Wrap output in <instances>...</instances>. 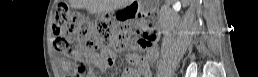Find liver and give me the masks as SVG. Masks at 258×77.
Listing matches in <instances>:
<instances>
[{"label":"liver","mask_w":258,"mask_h":77,"mask_svg":"<svg viewBox=\"0 0 258 77\" xmlns=\"http://www.w3.org/2000/svg\"><path fill=\"white\" fill-rule=\"evenodd\" d=\"M134 0H72L75 7L84 8L91 14H100L131 4Z\"/></svg>","instance_id":"obj_1"}]
</instances>
